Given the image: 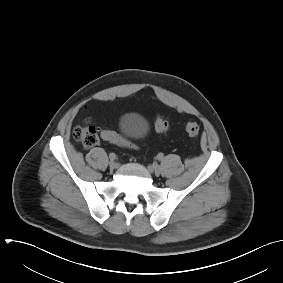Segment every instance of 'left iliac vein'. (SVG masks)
<instances>
[{
	"label": "left iliac vein",
	"mask_w": 283,
	"mask_h": 283,
	"mask_svg": "<svg viewBox=\"0 0 283 283\" xmlns=\"http://www.w3.org/2000/svg\"><path fill=\"white\" fill-rule=\"evenodd\" d=\"M149 170L156 176H159L161 174V167L158 165H150Z\"/></svg>",
	"instance_id": "obj_1"
}]
</instances>
